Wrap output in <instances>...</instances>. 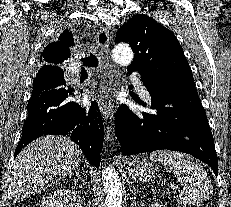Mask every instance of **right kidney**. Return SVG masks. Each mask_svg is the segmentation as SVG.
I'll use <instances>...</instances> for the list:
<instances>
[{"label": "right kidney", "instance_id": "right-kidney-1", "mask_svg": "<svg viewBox=\"0 0 231 207\" xmlns=\"http://www.w3.org/2000/svg\"><path fill=\"white\" fill-rule=\"evenodd\" d=\"M40 207H83L82 200L76 191L71 189H58L47 195Z\"/></svg>", "mask_w": 231, "mask_h": 207}]
</instances>
